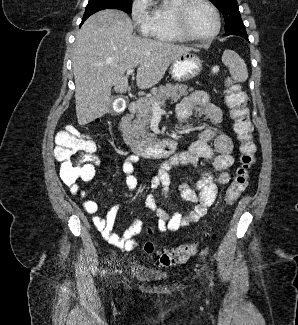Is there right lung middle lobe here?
Instances as JSON below:
<instances>
[{
    "label": "right lung middle lobe",
    "instance_id": "right-lung-middle-lobe-1",
    "mask_svg": "<svg viewBox=\"0 0 298 325\" xmlns=\"http://www.w3.org/2000/svg\"><path fill=\"white\" fill-rule=\"evenodd\" d=\"M103 9H119L130 14L132 0H89L83 20H86L90 15Z\"/></svg>",
    "mask_w": 298,
    "mask_h": 325
}]
</instances>
